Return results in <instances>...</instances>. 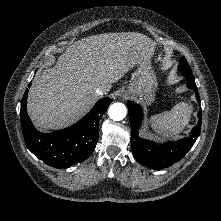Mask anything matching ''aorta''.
<instances>
[{"mask_svg":"<svg viewBox=\"0 0 221 221\" xmlns=\"http://www.w3.org/2000/svg\"><path fill=\"white\" fill-rule=\"evenodd\" d=\"M127 114L126 106L122 103H114L109 107L108 115L114 121H120Z\"/></svg>","mask_w":221,"mask_h":221,"instance_id":"aorta-1","label":"aorta"}]
</instances>
